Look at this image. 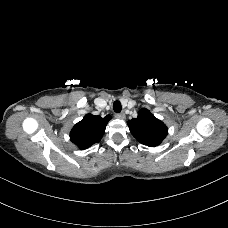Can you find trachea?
Returning a JSON list of instances; mask_svg holds the SVG:
<instances>
[{"label": "trachea", "mask_w": 228, "mask_h": 228, "mask_svg": "<svg viewBox=\"0 0 228 228\" xmlns=\"http://www.w3.org/2000/svg\"><path fill=\"white\" fill-rule=\"evenodd\" d=\"M113 109L116 113H120L122 109L121 103L119 101H115L113 103Z\"/></svg>", "instance_id": "trachea-1"}]
</instances>
